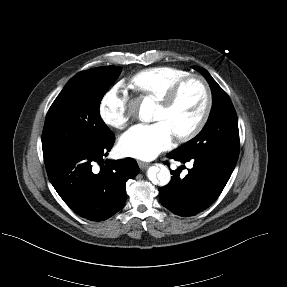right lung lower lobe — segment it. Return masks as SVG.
Listing matches in <instances>:
<instances>
[{
    "instance_id": "1",
    "label": "right lung lower lobe",
    "mask_w": 287,
    "mask_h": 287,
    "mask_svg": "<svg viewBox=\"0 0 287 287\" xmlns=\"http://www.w3.org/2000/svg\"><path fill=\"white\" fill-rule=\"evenodd\" d=\"M115 137L96 146L66 151L44 158L51 184L64 202L78 215L103 221L118 212L126 201V181L134 178L139 167L136 160H109L104 164ZM97 162V173L92 169Z\"/></svg>"
}]
</instances>
